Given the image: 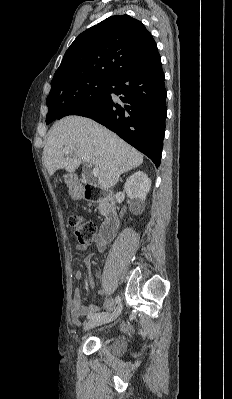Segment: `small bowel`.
Returning a JSON list of instances; mask_svg holds the SVG:
<instances>
[{
  "label": "small bowel",
  "instance_id": "c3829d8e",
  "mask_svg": "<svg viewBox=\"0 0 232 399\" xmlns=\"http://www.w3.org/2000/svg\"><path fill=\"white\" fill-rule=\"evenodd\" d=\"M88 246H89V244L86 242H80L78 244V248L80 250H85L88 248ZM94 246L97 248L98 251L101 252L107 248L108 243L107 242H96L94 244ZM92 257H93V255L89 256V259H91ZM84 269H85V263H84V261L81 260L78 262L77 276L79 278H82L84 276ZM88 280H89V283L92 282V275L90 272L88 273ZM99 310H100V308L97 306H94L91 304H83L79 291H76L70 301V306H69L70 323L78 331H83L87 327L98 334L111 331L113 327L110 325H104V324H100L97 322H89L88 326H87L80 320V316L87 315V314H90V313H93V312L99 311ZM104 311L111 313L113 315H118L121 312V307L109 305V306L104 307ZM114 327L117 329L132 331V330L139 329L141 327V324L139 322L127 321V322L117 323Z\"/></svg>",
  "mask_w": 232,
  "mask_h": 399
}]
</instances>
